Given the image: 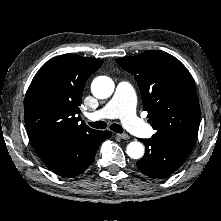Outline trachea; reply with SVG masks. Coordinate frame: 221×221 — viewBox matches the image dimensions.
I'll return each instance as SVG.
<instances>
[{
	"label": "trachea",
	"instance_id": "trachea-1",
	"mask_svg": "<svg viewBox=\"0 0 221 221\" xmlns=\"http://www.w3.org/2000/svg\"><path fill=\"white\" fill-rule=\"evenodd\" d=\"M89 125L92 128H96V129H104V128H106V123L103 122V121L89 122ZM110 129L112 131H114V132H117V133H122L123 132V128L119 124H112L110 126Z\"/></svg>",
	"mask_w": 221,
	"mask_h": 221
}]
</instances>
